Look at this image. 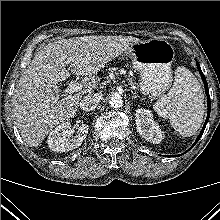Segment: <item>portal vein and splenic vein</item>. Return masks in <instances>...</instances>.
I'll return each instance as SVG.
<instances>
[{"instance_id": "portal-vein-and-splenic-vein-1", "label": "portal vein and splenic vein", "mask_w": 220, "mask_h": 220, "mask_svg": "<svg viewBox=\"0 0 220 220\" xmlns=\"http://www.w3.org/2000/svg\"><path fill=\"white\" fill-rule=\"evenodd\" d=\"M83 88L84 85L82 83L71 82L69 86L65 89V92L71 94L74 92L82 91Z\"/></svg>"}]
</instances>
